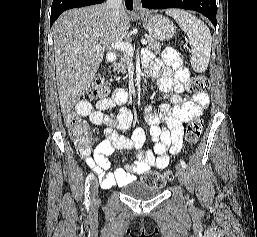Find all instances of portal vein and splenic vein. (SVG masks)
Returning <instances> with one entry per match:
<instances>
[{
  "label": "portal vein and splenic vein",
  "mask_w": 257,
  "mask_h": 237,
  "mask_svg": "<svg viewBox=\"0 0 257 237\" xmlns=\"http://www.w3.org/2000/svg\"><path fill=\"white\" fill-rule=\"evenodd\" d=\"M141 43L143 45L147 44V41L145 39L141 40ZM112 49L118 50V51H124L129 54H132L134 52V48L130 43H124V42H116L111 44ZM97 50H102V46L100 44H97L95 46Z\"/></svg>",
  "instance_id": "portal-vein-and-splenic-vein-1"
}]
</instances>
